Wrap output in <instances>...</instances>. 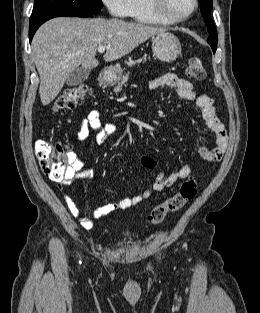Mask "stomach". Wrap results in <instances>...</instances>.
<instances>
[{
  "label": "stomach",
  "instance_id": "0dacf381",
  "mask_svg": "<svg viewBox=\"0 0 260 313\" xmlns=\"http://www.w3.org/2000/svg\"><path fill=\"white\" fill-rule=\"evenodd\" d=\"M153 54L163 62H172L177 59L181 53L179 39L168 31L157 33L152 43ZM122 68L111 66L104 71L103 79L107 83L113 84L120 80Z\"/></svg>",
  "mask_w": 260,
  "mask_h": 313
}]
</instances>
